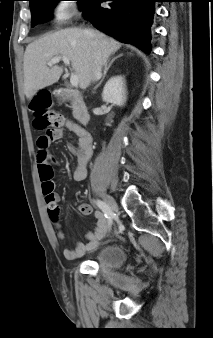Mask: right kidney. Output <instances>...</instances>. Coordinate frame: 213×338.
Listing matches in <instances>:
<instances>
[{"label": "right kidney", "instance_id": "1", "mask_svg": "<svg viewBox=\"0 0 213 338\" xmlns=\"http://www.w3.org/2000/svg\"><path fill=\"white\" fill-rule=\"evenodd\" d=\"M102 99L118 106L124 105L126 101L125 81L122 76L111 77L105 84Z\"/></svg>", "mask_w": 213, "mask_h": 338}]
</instances>
